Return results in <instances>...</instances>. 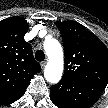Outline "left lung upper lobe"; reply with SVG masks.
<instances>
[{"instance_id":"5c2ea615","label":"left lung upper lobe","mask_w":108,"mask_h":108,"mask_svg":"<svg viewBox=\"0 0 108 108\" xmlns=\"http://www.w3.org/2000/svg\"><path fill=\"white\" fill-rule=\"evenodd\" d=\"M65 52L62 79L81 83L108 84V49L83 25L75 21L56 22Z\"/></svg>"}]
</instances>
